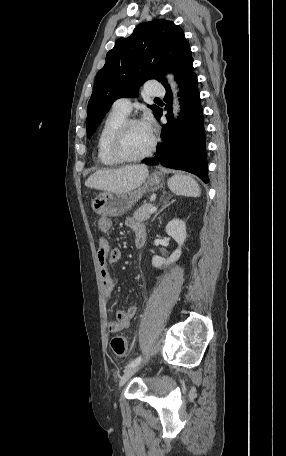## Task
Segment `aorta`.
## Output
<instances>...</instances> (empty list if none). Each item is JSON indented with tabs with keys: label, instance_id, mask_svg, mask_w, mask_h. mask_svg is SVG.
<instances>
[{
	"label": "aorta",
	"instance_id": "1",
	"mask_svg": "<svg viewBox=\"0 0 286 456\" xmlns=\"http://www.w3.org/2000/svg\"><path fill=\"white\" fill-rule=\"evenodd\" d=\"M167 79H168V83L170 84L173 95H174L173 114H174V117L176 118L180 111L178 97H177L178 88H177L176 82L174 81V76L172 74H168Z\"/></svg>",
	"mask_w": 286,
	"mask_h": 456
}]
</instances>
